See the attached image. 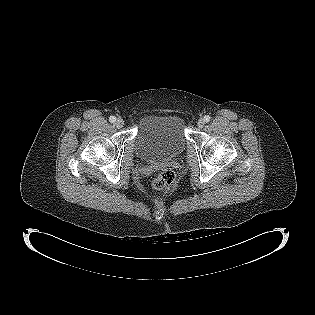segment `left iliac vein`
Segmentation results:
<instances>
[{
	"mask_svg": "<svg viewBox=\"0 0 315 315\" xmlns=\"http://www.w3.org/2000/svg\"><path fill=\"white\" fill-rule=\"evenodd\" d=\"M204 125H205L204 119H203V118H200V119L198 120V122H197V126H198L199 128H202Z\"/></svg>",
	"mask_w": 315,
	"mask_h": 315,
	"instance_id": "left-iliac-vein-1",
	"label": "left iliac vein"
}]
</instances>
